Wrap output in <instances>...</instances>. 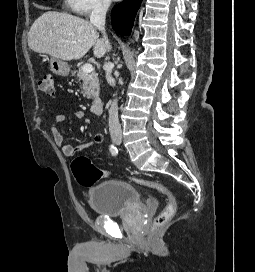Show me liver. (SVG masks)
Here are the masks:
<instances>
[{"instance_id": "1", "label": "liver", "mask_w": 255, "mask_h": 272, "mask_svg": "<svg viewBox=\"0 0 255 272\" xmlns=\"http://www.w3.org/2000/svg\"><path fill=\"white\" fill-rule=\"evenodd\" d=\"M28 45L36 53L65 61L81 59L92 47L98 58L107 50L91 22L56 11H47L35 20L28 32Z\"/></svg>"}]
</instances>
